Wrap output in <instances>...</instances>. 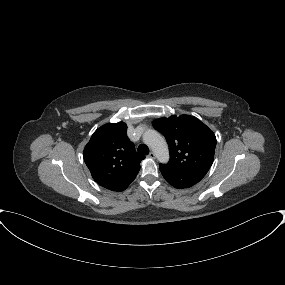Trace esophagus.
I'll return each instance as SVG.
<instances>
[{
	"label": "esophagus",
	"mask_w": 285,
	"mask_h": 285,
	"mask_svg": "<svg viewBox=\"0 0 285 285\" xmlns=\"http://www.w3.org/2000/svg\"><path fill=\"white\" fill-rule=\"evenodd\" d=\"M148 157L151 158V159H155V153L154 152H150Z\"/></svg>",
	"instance_id": "esophagus-1"
}]
</instances>
